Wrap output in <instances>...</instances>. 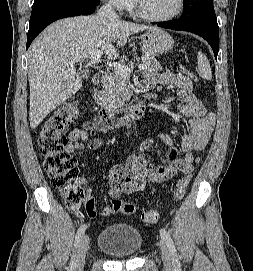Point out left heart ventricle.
<instances>
[{
    "label": "left heart ventricle",
    "instance_id": "obj_1",
    "mask_svg": "<svg viewBox=\"0 0 253 271\" xmlns=\"http://www.w3.org/2000/svg\"><path fill=\"white\" fill-rule=\"evenodd\" d=\"M144 10L153 16H166L174 12L178 0H141Z\"/></svg>",
    "mask_w": 253,
    "mask_h": 271
}]
</instances>
